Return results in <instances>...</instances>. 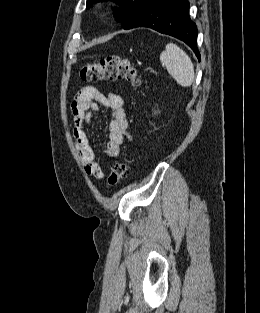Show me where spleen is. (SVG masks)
<instances>
[{"label": "spleen", "instance_id": "obj_1", "mask_svg": "<svg viewBox=\"0 0 260 313\" xmlns=\"http://www.w3.org/2000/svg\"><path fill=\"white\" fill-rule=\"evenodd\" d=\"M160 61L179 85H192L195 77L194 66L190 57L179 46L168 43L160 54Z\"/></svg>", "mask_w": 260, "mask_h": 313}]
</instances>
